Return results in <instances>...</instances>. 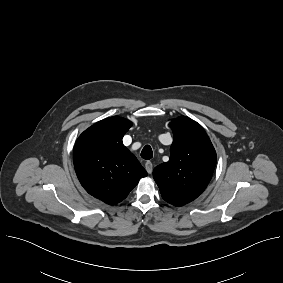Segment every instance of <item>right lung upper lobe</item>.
Here are the masks:
<instances>
[{
	"instance_id": "obj_1",
	"label": "right lung upper lobe",
	"mask_w": 283,
	"mask_h": 283,
	"mask_svg": "<svg viewBox=\"0 0 283 283\" xmlns=\"http://www.w3.org/2000/svg\"><path fill=\"white\" fill-rule=\"evenodd\" d=\"M131 126L129 120L118 116L101 120L85 130L74 146V167L80 183L89 194L110 205L125 199L147 176L122 142Z\"/></svg>"
}]
</instances>
